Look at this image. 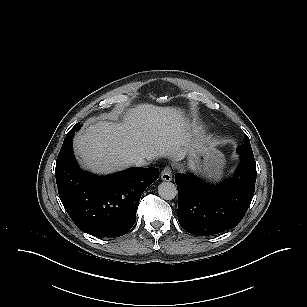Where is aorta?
Listing matches in <instances>:
<instances>
[{"mask_svg":"<svg viewBox=\"0 0 307 307\" xmlns=\"http://www.w3.org/2000/svg\"><path fill=\"white\" fill-rule=\"evenodd\" d=\"M158 194L162 199L172 200L177 195V187L172 182H162L158 186Z\"/></svg>","mask_w":307,"mask_h":307,"instance_id":"aorta-1","label":"aorta"}]
</instances>
